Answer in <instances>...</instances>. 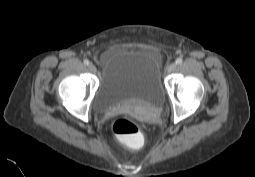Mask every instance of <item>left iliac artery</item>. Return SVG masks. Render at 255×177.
Here are the masks:
<instances>
[{"instance_id": "44dca946", "label": "left iliac artery", "mask_w": 255, "mask_h": 177, "mask_svg": "<svg viewBox=\"0 0 255 177\" xmlns=\"http://www.w3.org/2000/svg\"><path fill=\"white\" fill-rule=\"evenodd\" d=\"M182 62H183L182 58L179 57V58L176 59V64L177 65L182 64Z\"/></svg>"}]
</instances>
